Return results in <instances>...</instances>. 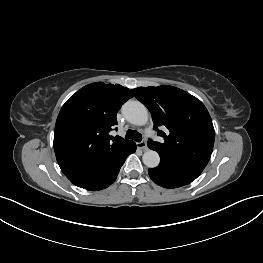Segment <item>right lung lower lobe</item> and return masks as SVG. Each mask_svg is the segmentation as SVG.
Segmentation results:
<instances>
[{
    "instance_id": "98d812e1",
    "label": "right lung lower lobe",
    "mask_w": 263,
    "mask_h": 263,
    "mask_svg": "<svg viewBox=\"0 0 263 263\" xmlns=\"http://www.w3.org/2000/svg\"><path fill=\"white\" fill-rule=\"evenodd\" d=\"M136 144H128L123 150L112 155L92 168L75 172L66 177L76 186L87 190H101L111 185L117 178L121 166L131 153L135 152Z\"/></svg>"
}]
</instances>
